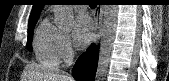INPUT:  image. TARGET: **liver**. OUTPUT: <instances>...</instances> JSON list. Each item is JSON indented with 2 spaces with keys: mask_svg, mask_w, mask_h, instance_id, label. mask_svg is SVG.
Here are the masks:
<instances>
[{
  "mask_svg": "<svg viewBox=\"0 0 169 81\" xmlns=\"http://www.w3.org/2000/svg\"><path fill=\"white\" fill-rule=\"evenodd\" d=\"M25 80L22 81H73L72 78L61 70H42L28 65L24 71Z\"/></svg>",
  "mask_w": 169,
  "mask_h": 81,
  "instance_id": "1",
  "label": "liver"
}]
</instances>
